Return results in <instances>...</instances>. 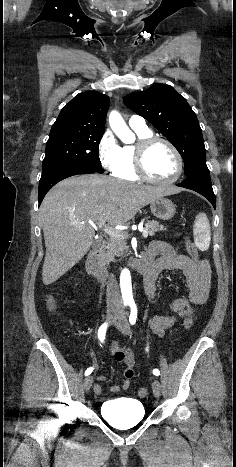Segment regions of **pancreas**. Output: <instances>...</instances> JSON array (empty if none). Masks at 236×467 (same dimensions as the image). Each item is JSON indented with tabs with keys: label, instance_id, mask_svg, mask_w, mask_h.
<instances>
[{
	"label": "pancreas",
	"instance_id": "cf45deb5",
	"mask_svg": "<svg viewBox=\"0 0 236 467\" xmlns=\"http://www.w3.org/2000/svg\"><path fill=\"white\" fill-rule=\"evenodd\" d=\"M146 228L148 230L149 236H154L155 232L165 230L163 225H160L159 222L154 220H149L146 223ZM127 250L126 240L116 237H111L109 239V244L107 251L104 255L105 262L109 264L110 262L115 261V256H122L123 252Z\"/></svg>",
	"mask_w": 236,
	"mask_h": 467
}]
</instances>
